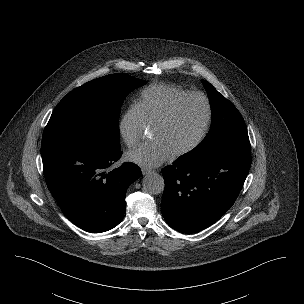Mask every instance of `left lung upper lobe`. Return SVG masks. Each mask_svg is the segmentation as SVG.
<instances>
[{"label":"left lung upper lobe","mask_w":304,"mask_h":304,"mask_svg":"<svg viewBox=\"0 0 304 304\" xmlns=\"http://www.w3.org/2000/svg\"><path fill=\"white\" fill-rule=\"evenodd\" d=\"M203 84L213 113L211 129L198 146L181 158L197 162L224 150H250L247 127L237 108L209 82L203 81Z\"/></svg>","instance_id":"obj_1"}]
</instances>
